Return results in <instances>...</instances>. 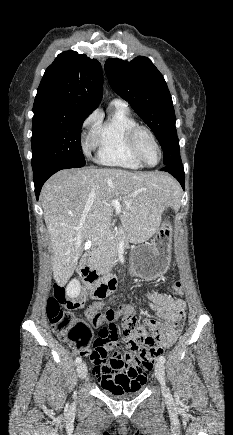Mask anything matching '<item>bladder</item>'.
<instances>
[{
  "label": "bladder",
  "mask_w": 233,
  "mask_h": 435,
  "mask_svg": "<svg viewBox=\"0 0 233 435\" xmlns=\"http://www.w3.org/2000/svg\"><path fill=\"white\" fill-rule=\"evenodd\" d=\"M144 385H145L144 382H141L140 385L135 386V388L131 392H128V393H119V392L114 391V390H112L111 388H108V387H103L101 389V391L105 395H107V396H109V397H111L113 399L125 400V399L134 398V397L138 396L139 394H141L143 392V390H144Z\"/></svg>",
  "instance_id": "obj_1"
}]
</instances>
